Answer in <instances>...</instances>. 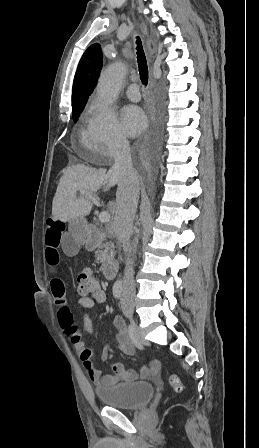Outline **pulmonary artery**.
I'll list each match as a JSON object with an SVG mask.
<instances>
[{"label":"pulmonary artery","mask_w":259,"mask_h":448,"mask_svg":"<svg viewBox=\"0 0 259 448\" xmlns=\"http://www.w3.org/2000/svg\"><path fill=\"white\" fill-rule=\"evenodd\" d=\"M119 67L122 70H126V66L127 64L125 62H120ZM138 89V85L135 83L130 84L126 89H125V93L128 96L129 99H131L132 101H139L141 98V95L137 92H135Z\"/></svg>","instance_id":"pulmonary-artery-1"}]
</instances>
